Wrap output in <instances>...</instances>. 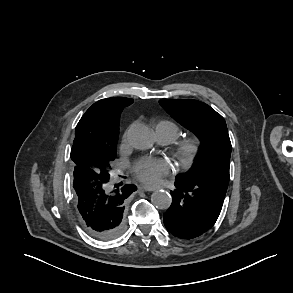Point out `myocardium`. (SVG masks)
I'll return each mask as SVG.
<instances>
[{
	"label": "myocardium",
	"mask_w": 293,
	"mask_h": 293,
	"mask_svg": "<svg viewBox=\"0 0 293 293\" xmlns=\"http://www.w3.org/2000/svg\"><path fill=\"white\" fill-rule=\"evenodd\" d=\"M201 149V141L198 137H188L179 142L175 146V156L179 166L187 168L197 158Z\"/></svg>",
	"instance_id": "f54148a6"
}]
</instances>
